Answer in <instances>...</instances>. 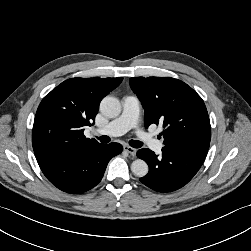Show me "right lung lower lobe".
Wrapping results in <instances>:
<instances>
[{
    "label": "right lung lower lobe",
    "instance_id": "right-lung-lower-lobe-1",
    "mask_svg": "<svg viewBox=\"0 0 251 251\" xmlns=\"http://www.w3.org/2000/svg\"><path fill=\"white\" fill-rule=\"evenodd\" d=\"M118 143L99 144L72 153L37 159L46 178L58 189L80 194L95 187L102 179L108 162L121 153Z\"/></svg>",
    "mask_w": 251,
    "mask_h": 251
}]
</instances>
